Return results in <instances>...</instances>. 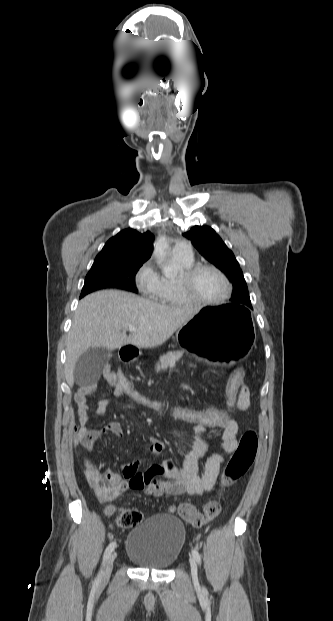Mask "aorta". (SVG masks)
<instances>
[{
    "instance_id": "762f6f07",
    "label": "aorta",
    "mask_w": 333,
    "mask_h": 621,
    "mask_svg": "<svg viewBox=\"0 0 333 621\" xmlns=\"http://www.w3.org/2000/svg\"><path fill=\"white\" fill-rule=\"evenodd\" d=\"M166 246H167V243L165 239L164 238L159 239L154 244V254L159 258H163L166 254ZM164 273L168 275L169 271L164 270Z\"/></svg>"
}]
</instances>
